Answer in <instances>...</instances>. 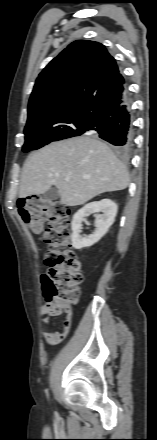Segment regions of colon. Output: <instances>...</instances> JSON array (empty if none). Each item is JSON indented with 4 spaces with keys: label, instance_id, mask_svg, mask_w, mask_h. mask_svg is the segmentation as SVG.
Returning <instances> with one entry per match:
<instances>
[{
    "label": "colon",
    "instance_id": "obj_1",
    "mask_svg": "<svg viewBox=\"0 0 157 440\" xmlns=\"http://www.w3.org/2000/svg\"><path fill=\"white\" fill-rule=\"evenodd\" d=\"M18 211L29 230L48 245V270L42 278L44 296L53 315H64L68 321L83 280L80 262L70 243V209L60 202L30 197L19 203Z\"/></svg>",
    "mask_w": 157,
    "mask_h": 440
}]
</instances>
